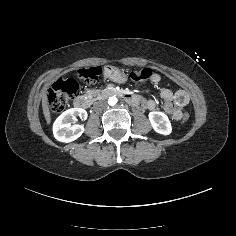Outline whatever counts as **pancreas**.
Wrapping results in <instances>:
<instances>
[{"label":"pancreas","instance_id":"pancreas-1","mask_svg":"<svg viewBox=\"0 0 236 236\" xmlns=\"http://www.w3.org/2000/svg\"><path fill=\"white\" fill-rule=\"evenodd\" d=\"M88 96L92 99L93 102L102 98V93L100 90H91L88 92Z\"/></svg>","mask_w":236,"mask_h":236}]
</instances>
